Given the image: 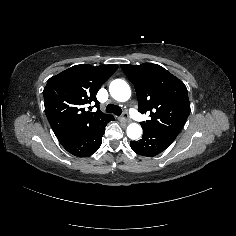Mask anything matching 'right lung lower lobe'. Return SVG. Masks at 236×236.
<instances>
[{"label": "right lung lower lobe", "mask_w": 236, "mask_h": 236, "mask_svg": "<svg viewBox=\"0 0 236 236\" xmlns=\"http://www.w3.org/2000/svg\"><path fill=\"white\" fill-rule=\"evenodd\" d=\"M112 120H114V118L101 120L98 123L77 131L60 143L72 155L88 157L101 146L105 126Z\"/></svg>", "instance_id": "1"}]
</instances>
